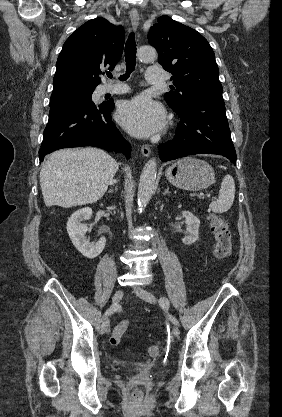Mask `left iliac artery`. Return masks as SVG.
I'll list each match as a JSON object with an SVG mask.
<instances>
[{
	"mask_svg": "<svg viewBox=\"0 0 282 417\" xmlns=\"http://www.w3.org/2000/svg\"><path fill=\"white\" fill-rule=\"evenodd\" d=\"M159 304H160V306L162 307V309H164V310H166V311L169 309L170 302H169V300H168L166 297H161V298L159 299ZM170 320H171V322H172L174 325L179 326V322H178V320H177L175 317L170 316Z\"/></svg>",
	"mask_w": 282,
	"mask_h": 417,
	"instance_id": "obj_1",
	"label": "left iliac artery"
}]
</instances>
